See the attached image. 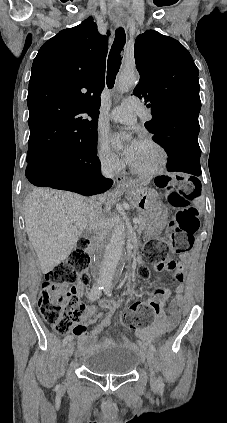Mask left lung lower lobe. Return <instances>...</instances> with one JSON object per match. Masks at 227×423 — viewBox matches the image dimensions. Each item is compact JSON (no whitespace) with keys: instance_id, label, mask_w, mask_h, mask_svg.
I'll return each instance as SVG.
<instances>
[{"instance_id":"1","label":"left lung lower lobe","mask_w":227,"mask_h":423,"mask_svg":"<svg viewBox=\"0 0 227 423\" xmlns=\"http://www.w3.org/2000/svg\"><path fill=\"white\" fill-rule=\"evenodd\" d=\"M199 128V126L189 125L175 134L155 139L168 154V171L201 175V150L197 140ZM192 178L194 177L190 180Z\"/></svg>"}]
</instances>
